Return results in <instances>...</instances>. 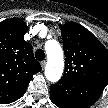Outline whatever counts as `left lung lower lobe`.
Returning a JSON list of instances; mask_svg holds the SVG:
<instances>
[{
	"label": "left lung lower lobe",
	"mask_w": 108,
	"mask_h": 108,
	"mask_svg": "<svg viewBox=\"0 0 108 108\" xmlns=\"http://www.w3.org/2000/svg\"><path fill=\"white\" fill-rule=\"evenodd\" d=\"M104 87L61 79L50 87L51 101L59 108H89Z\"/></svg>",
	"instance_id": "left-lung-lower-lobe-1"
}]
</instances>
